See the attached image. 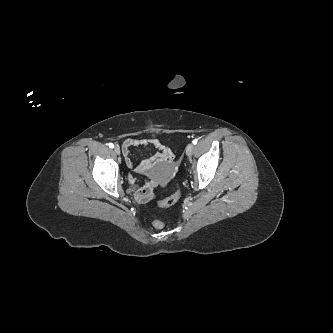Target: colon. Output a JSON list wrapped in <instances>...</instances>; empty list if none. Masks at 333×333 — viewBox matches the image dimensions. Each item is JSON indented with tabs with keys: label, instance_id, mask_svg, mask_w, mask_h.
Instances as JSON below:
<instances>
[{
	"label": "colon",
	"instance_id": "1",
	"mask_svg": "<svg viewBox=\"0 0 333 333\" xmlns=\"http://www.w3.org/2000/svg\"><path fill=\"white\" fill-rule=\"evenodd\" d=\"M180 195H181L180 190H176L169 197H167V198L159 201L158 202V206H160V207H169V206H172V205H174L178 201V199L180 198ZM153 226L156 229H162L164 227V222L161 219L156 218V219L153 220Z\"/></svg>",
	"mask_w": 333,
	"mask_h": 333
}]
</instances>
